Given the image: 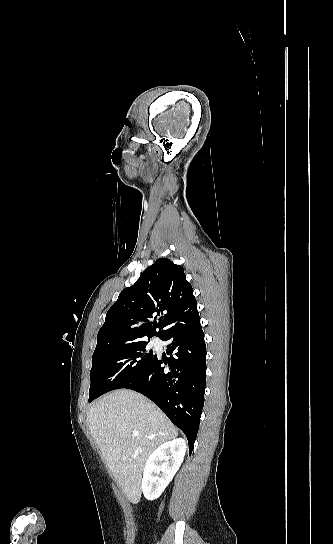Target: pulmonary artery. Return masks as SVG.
Listing matches in <instances>:
<instances>
[{"mask_svg": "<svg viewBox=\"0 0 333 544\" xmlns=\"http://www.w3.org/2000/svg\"><path fill=\"white\" fill-rule=\"evenodd\" d=\"M154 342H155L156 344H158V343H159L158 338H155Z\"/></svg>", "mask_w": 333, "mask_h": 544, "instance_id": "1", "label": "pulmonary artery"}]
</instances>
